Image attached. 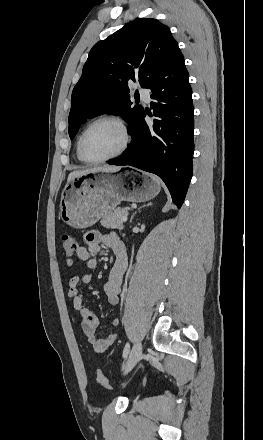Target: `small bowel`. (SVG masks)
Segmentation results:
<instances>
[{
    "instance_id": "c3829d8e",
    "label": "small bowel",
    "mask_w": 263,
    "mask_h": 440,
    "mask_svg": "<svg viewBox=\"0 0 263 440\" xmlns=\"http://www.w3.org/2000/svg\"><path fill=\"white\" fill-rule=\"evenodd\" d=\"M84 243V246L77 248L76 255L79 260L86 263L88 271L73 276L69 280L68 296L73 302L74 309L78 312L81 328L90 347L96 353H103L115 343L118 335L115 332H111L102 339L96 336V328L99 324L98 317L86 305L85 295L80 291L79 287L91 282L92 271L97 267V255L100 252L101 245H106L114 251L115 261L104 286V291L108 302L111 305H117L124 275L128 267V257L123 241L115 232H87L84 236ZM118 324L119 319L115 318L113 325L117 326Z\"/></svg>"
}]
</instances>
